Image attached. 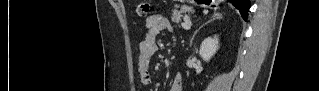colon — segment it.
Here are the masks:
<instances>
[{"label":"colon","instance_id":"5ec220e1","mask_svg":"<svg viewBox=\"0 0 319 91\" xmlns=\"http://www.w3.org/2000/svg\"><path fill=\"white\" fill-rule=\"evenodd\" d=\"M149 12H150V3L147 1L139 2L137 7V14L140 17H145L149 14Z\"/></svg>","mask_w":319,"mask_h":91}]
</instances>
